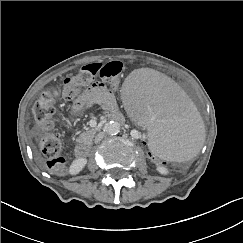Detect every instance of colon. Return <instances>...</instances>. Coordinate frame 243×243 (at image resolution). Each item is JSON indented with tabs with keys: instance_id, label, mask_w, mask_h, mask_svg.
<instances>
[{
	"instance_id": "obj_1",
	"label": "colon",
	"mask_w": 243,
	"mask_h": 243,
	"mask_svg": "<svg viewBox=\"0 0 243 243\" xmlns=\"http://www.w3.org/2000/svg\"><path fill=\"white\" fill-rule=\"evenodd\" d=\"M123 63L113 61L107 64H89L83 66L77 74L64 80L62 96L67 100L76 98L84 87L90 86L97 80L115 88L120 82L123 71ZM60 94L57 91H47L42 93L40 98L32 107L34 117V127L41 134V149L46 157V166L54 174L61 175L65 172V159L61 155V141L53 134L55 128L54 114ZM140 149L150 163L158 167L169 169L171 161L162 159L152 153L147 140L139 142ZM191 166V163L183 164V167ZM175 168H182V165L174 164Z\"/></svg>"
}]
</instances>
